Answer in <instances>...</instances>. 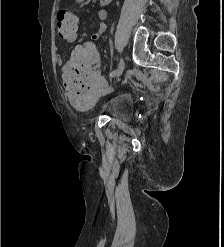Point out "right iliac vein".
I'll list each match as a JSON object with an SVG mask.
<instances>
[{"mask_svg":"<svg viewBox=\"0 0 224 247\" xmlns=\"http://www.w3.org/2000/svg\"><path fill=\"white\" fill-rule=\"evenodd\" d=\"M124 67H125V63H124L123 59H121L119 62V65L116 69V73H115L114 77H119L123 73Z\"/></svg>","mask_w":224,"mask_h":247,"instance_id":"obj_1","label":"right iliac vein"}]
</instances>
